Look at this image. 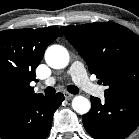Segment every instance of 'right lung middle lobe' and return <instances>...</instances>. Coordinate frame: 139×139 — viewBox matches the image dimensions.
<instances>
[{
	"instance_id": "right-lung-middle-lobe-1",
	"label": "right lung middle lobe",
	"mask_w": 139,
	"mask_h": 139,
	"mask_svg": "<svg viewBox=\"0 0 139 139\" xmlns=\"http://www.w3.org/2000/svg\"><path fill=\"white\" fill-rule=\"evenodd\" d=\"M8 103V101H7V99L4 97V94H3V92H1L0 91V109L2 110H5L6 109V107H7V104Z\"/></svg>"
}]
</instances>
